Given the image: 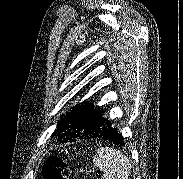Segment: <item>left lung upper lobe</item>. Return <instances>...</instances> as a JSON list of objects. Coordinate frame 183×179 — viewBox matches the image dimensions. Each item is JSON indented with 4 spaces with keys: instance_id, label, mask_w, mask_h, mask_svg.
Here are the masks:
<instances>
[{
    "instance_id": "left-lung-upper-lobe-1",
    "label": "left lung upper lobe",
    "mask_w": 183,
    "mask_h": 179,
    "mask_svg": "<svg viewBox=\"0 0 183 179\" xmlns=\"http://www.w3.org/2000/svg\"><path fill=\"white\" fill-rule=\"evenodd\" d=\"M106 121L108 119L103 117L99 109H94L92 104H81L62 118L54 133H58L62 143L73 142L91 135Z\"/></svg>"
}]
</instances>
